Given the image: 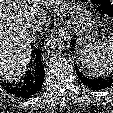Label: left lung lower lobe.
<instances>
[{"mask_svg":"<svg viewBox=\"0 0 113 113\" xmlns=\"http://www.w3.org/2000/svg\"><path fill=\"white\" fill-rule=\"evenodd\" d=\"M75 42L76 41L74 40L70 44L72 46H75V44H76ZM75 69H76V74H77L78 78L80 79V81L90 89L101 90V89L107 88L111 84H113V78H112L113 75L110 77H106V78H101V77L92 78V77L86 76L82 71H80L79 68L77 67V65H76Z\"/></svg>","mask_w":113,"mask_h":113,"instance_id":"0a47b994","label":"left lung lower lobe"}]
</instances>
